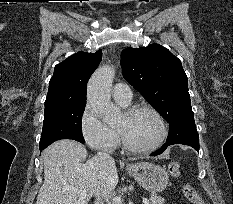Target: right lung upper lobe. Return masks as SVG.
Listing matches in <instances>:
<instances>
[{
  "mask_svg": "<svg viewBox=\"0 0 233 204\" xmlns=\"http://www.w3.org/2000/svg\"><path fill=\"white\" fill-rule=\"evenodd\" d=\"M102 59V51L78 52L57 64L45 104L86 100V84Z\"/></svg>",
  "mask_w": 233,
  "mask_h": 204,
  "instance_id": "obj_1",
  "label": "right lung upper lobe"
}]
</instances>
